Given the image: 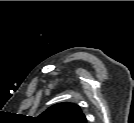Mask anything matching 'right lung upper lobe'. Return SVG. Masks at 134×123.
<instances>
[{"mask_svg":"<svg viewBox=\"0 0 134 123\" xmlns=\"http://www.w3.org/2000/svg\"><path fill=\"white\" fill-rule=\"evenodd\" d=\"M40 123H87L78 105L74 103H58L35 118Z\"/></svg>","mask_w":134,"mask_h":123,"instance_id":"right-lung-upper-lobe-1","label":"right lung upper lobe"}]
</instances>
